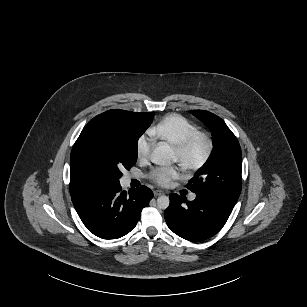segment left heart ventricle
Instances as JSON below:
<instances>
[{"label": "left heart ventricle", "mask_w": 307, "mask_h": 307, "mask_svg": "<svg viewBox=\"0 0 307 307\" xmlns=\"http://www.w3.org/2000/svg\"><path fill=\"white\" fill-rule=\"evenodd\" d=\"M201 154V148L198 146L196 148L193 149V151L191 152L189 159L194 161L196 160ZM174 161L180 162V159L178 158V156L176 154H174L172 151L170 152L169 155V162L172 163Z\"/></svg>", "instance_id": "1"}]
</instances>
